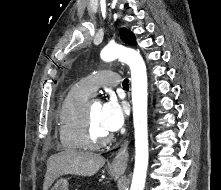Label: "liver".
<instances>
[{
  "instance_id": "liver-1",
  "label": "liver",
  "mask_w": 221,
  "mask_h": 190,
  "mask_svg": "<svg viewBox=\"0 0 221 190\" xmlns=\"http://www.w3.org/2000/svg\"><path fill=\"white\" fill-rule=\"evenodd\" d=\"M105 164L100 154L67 149L49 157L43 190H48L62 175L93 176Z\"/></svg>"
}]
</instances>
